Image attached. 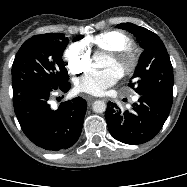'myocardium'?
<instances>
[{
    "instance_id": "f54148a6",
    "label": "myocardium",
    "mask_w": 187,
    "mask_h": 187,
    "mask_svg": "<svg viewBox=\"0 0 187 187\" xmlns=\"http://www.w3.org/2000/svg\"><path fill=\"white\" fill-rule=\"evenodd\" d=\"M109 55L118 62L124 64L121 70L122 75L129 76L135 72L138 66L139 57L132 48H122L109 51Z\"/></svg>"
}]
</instances>
